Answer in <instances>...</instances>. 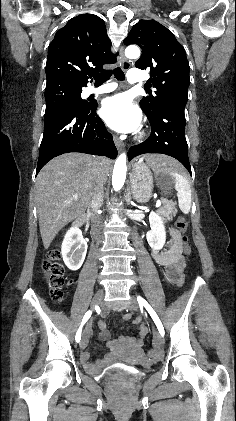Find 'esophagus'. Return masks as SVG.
<instances>
[{"instance_id": "1", "label": "esophagus", "mask_w": 236, "mask_h": 421, "mask_svg": "<svg viewBox=\"0 0 236 421\" xmlns=\"http://www.w3.org/2000/svg\"><path fill=\"white\" fill-rule=\"evenodd\" d=\"M120 61H121L123 70L127 71L130 68V64L124 55L123 48L120 49ZM114 142L118 150H121L123 148L124 146L123 142L117 136L114 137Z\"/></svg>"}]
</instances>
